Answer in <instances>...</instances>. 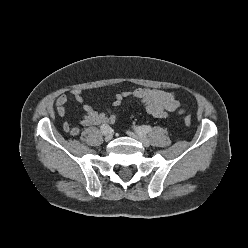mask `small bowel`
<instances>
[{
  "instance_id": "1",
  "label": "small bowel",
  "mask_w": 248,
  "mask_h": 248,
  "mask_svg": "<svg viewBox=\"0 0 248 248\" xmlns=\"http://www.w3.org/2000/svg\"><path fill=\"white\" fill-rule=\"evenodd\" d=\"M133 98L141 103L146 112L156 118L166 119L171 112L181 115L185 112L181 103L177 100L174 91H164L149 88H137L132 91L119 92L114 95L112 108L106 112H99L88 104H84V93L80 89H72L69 94L59 96L55 101L57 114L64 117L66 107L70 101L82 104L83 115L80 124L83 126H97L112 124L116 119L115 109L119 108L124 100ZM63 130L71 136H77L80 129L69 122H65Z\"/></svg>"
}]
</instances>
